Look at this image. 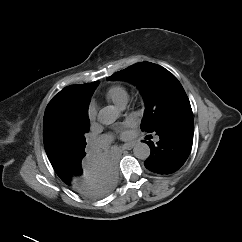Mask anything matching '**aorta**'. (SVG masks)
<instances>
[{"label":"aorta","mask_w":242,"mask_h":242,"mask_svg":"<svg viewBox=\"0 0 242 242\" xmlns=\"http://www.w3.org/2000/svg\"><path fill=\"white\" fill-rule=\"evenodd\" d=\"M119 116L120 112L116 107L106 106L99 111L97 120L103 125H110L114 123ZM133 153L137 159L146 160L150 156L151 150L146 143L138 142L133 148Z\"/></svg>","instance_id":"obj_1"}]
</instances>
